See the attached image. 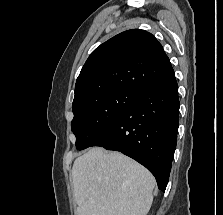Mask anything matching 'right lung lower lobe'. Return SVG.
I'll use <instances>...</instances> for the list:
<instances>
[{
  "instance_id": "1",
  "label": "right lung lower lobe",
  "mask_w": 223,
  "mask_h": 215,
  "mask_svg": "<svg viewBox=\"0 0 223 215\" xmlns=\"http://www.w3.org/2000/svg\"><path fill=\"white\" fill-rule=\"evenodd\" d=\"M176 78L150 88L134 100L120 119L91 146L120 151L145 166L165 191L178 132Z\"/></svg>"
}]
</instances>
